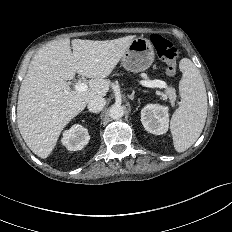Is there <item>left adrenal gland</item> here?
I'll use <instances>...</instances> for the list:
<instances>
[{
    "label": "left adrenal gland",
    "instance_id": "a2214340",
    "mask_svg": "<svg viewBox=\"0 0 232 232\" xmlns=\"http://www.w3.org/2000/svg\"><path fill=\"white\" fill-rule=\"evenodd\" d=\"M129 99L134 100V92L129 96Z\"/></svg>",
    "mask_w": 232,
    "mask_h": 232
}]
</instances>
